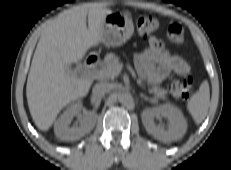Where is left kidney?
I'll return each mask as SVG.
<instances>
[{
	"instance_id": "left-kidney-1",
	"label": "left kidney",
	"mask_w": 231,
	"mask_h": 170,
	"mask_svg": "<svg viewBox=\"0 0 231 170\" xmlns=\"http://www.w3.org/2000/svg\"><path fill=\"white\" fill-rule=\"evenodd\" d=\"M162 117L169 121L167 130L156 126L154 122L155 119ZM141 118L147 132L163 142L178 140L183 137L187 130V121L182 112L170 103L144 110Z\"/></svg>"
}]
</instances>
